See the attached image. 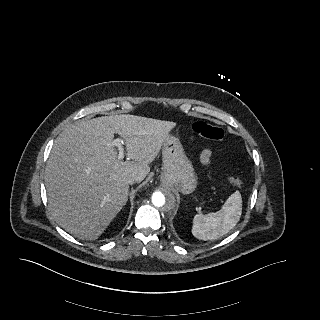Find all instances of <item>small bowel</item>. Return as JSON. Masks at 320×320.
I'll use <instances>...</instances> for the list:
<instances>
[{"label": "small bowel", "instance_id": "obj_1", "mask_svg": "<svg viewBox=\"0 0 320 320\" xmlns=\"http://www.w3.org/2000/svg\"><path fill=\"white\" fill-rule=\"evenodd\" d=\"M210 158H211V150H209V149L204 150L201 155V159H202L203 163H205V164L209 163Z\"/></svg>", "mask_w": 320, "mask_h": 320}]
</instances>
